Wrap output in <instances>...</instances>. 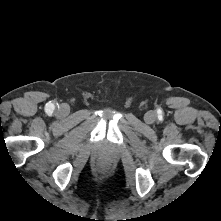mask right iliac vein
Returning <instances> with one entry per match:
<instances>
[{"label":"right iliac vein","mask_w":221,"mask_h":221,"mask_svg":"<svg viewBox=\"0 0 221 221\" xmlns=\"http://www.w3.org/2000/svg\"><path fill=\"white\" fill-rule=\"evenodd\" d=\"M69 107L66 104H62L58 110L60 116L65 117L69 114Z\"/></svg>","instance_id":"right-iliac-vein-1"}]
</instances>
